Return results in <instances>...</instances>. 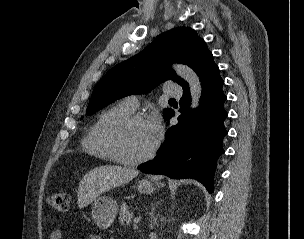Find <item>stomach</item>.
Masks as SVG:
<instances>
[{
  "label": "stomach",
  "instance_id": "0dacf381",
  "mask_svg": "<svg viewBox=\"0 0 304 239\" xmlns=\"http://www.w3.org/2000/svg\"><path fill=\"white\" fill-rule=\"evenodd\" d=\"M155 185L159 184L143 179L138 182L137 189L140 193L151 194L155 190ZM117 211L118 204L114 199L107 196L99 197L92 204V219L99 228L107 229L113 223Z\"/></svg>",
  "mask_w": 304,
  "mask_h": 239
}]
</instances>
